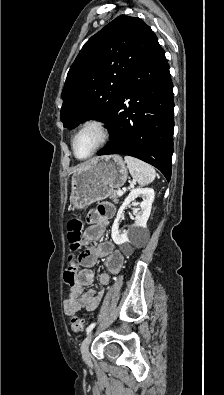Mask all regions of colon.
Listing matches in <instances>:
<instances>
[{"instance_id":"5ec220e1","label":"colon","mask_w":224,"mask_h":395,"mask_svg":"<svg viewBox=\"0 0 224 395\" xmlns=\"http://www.w3.org/2000/svg\"><path fill=\"white\" fill-rule=\"evenodd\" d=\"M82 222L81 220L74 218L71 219L67 224V239L70 243L72 251H77L80 248ZM77 275V265L70 257L69 266L64 271V281L68 285H73ZM86 324V320L82 317L72 316L70 320V329L79 333L82 332Z\"/></svg>"}]
</instances>
